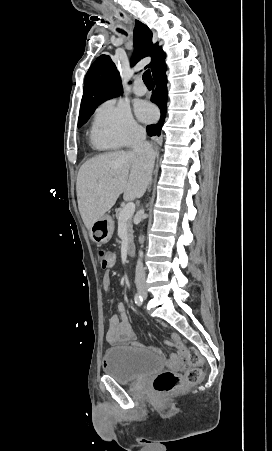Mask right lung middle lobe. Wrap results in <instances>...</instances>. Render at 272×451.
<instances>
[{
  "label": "right lung middle lobe",
  "mask_w": 272,
  "mask_h": 451,
  "mask_svg": "<svg viewBox=\"0 0 272 451\" xmlns=\"http://www.w3.org/2000/svg\"><path fill=\"white\" fill-rule=\"evenodd\" d=\"M95 108L81 110L79 114L78 127L84 125L89 119L90 115L94 112Z\"/></svg>",
  "instance_id": "1"
}]
</instances>
